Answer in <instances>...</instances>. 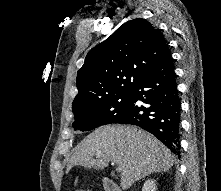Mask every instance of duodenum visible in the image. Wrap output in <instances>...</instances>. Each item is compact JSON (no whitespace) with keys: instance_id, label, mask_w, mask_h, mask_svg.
<instances>
[{"instance_id":"1","label":"duodenum","mask_w":221,"mask_h":191,"mask_svg":"<svg viewBox=\"0 0 221 191\" xmlns=\"http://www.w3.org/2000/svg\"><path fill=\"white\" fill-rule=\"evenodd\" d=\"M102 186L105 191H121L120 187L109 177L102 179Z\"/></svg>"}]
</instances>
